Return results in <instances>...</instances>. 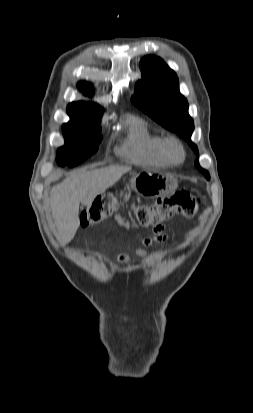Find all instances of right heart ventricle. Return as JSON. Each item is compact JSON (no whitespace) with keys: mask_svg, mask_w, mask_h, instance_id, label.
Wrapping results in <instances>:
<instances>
[{"mask_svg":"<svg viewBox=\"0 0 253 413\" xmlns=\"http://www.w3.org/2000/svg\"><path fill=\"white\" fill-rule=\"evenodd\" d=\"M120 154L140 165L168 167L175 163L168 153L166 140L135 117L128 119V136Z\"/></svg>","mask_w":253,"mask_h":413,"instance_id":"right-heart-ventricle-1","label":"right heart ventricle"}]
</instances>
